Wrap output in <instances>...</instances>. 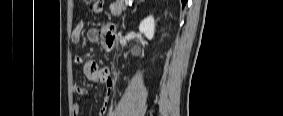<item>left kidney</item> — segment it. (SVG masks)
I'll list each match as a JSON object with an SVG mask.
<instances>
[{
  "mask_svg": "<svg viewBox=\"0 0 283 116\" xmlns=\"http://www.w3.org/2000/svg\"><path fill=\"white\" fill-rule=\"evenodd\" d=\"M139 31L148 39L152 40L155 32V21L153 16H148L141 21Z\"/></svg>",
  "mask_w": 283,
  "mask_h": 116,
  "instance_id": "left-kidney-1",
  "label": "left kidney"
}]
</instances>
